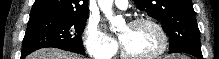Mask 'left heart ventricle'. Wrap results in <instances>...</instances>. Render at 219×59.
I'll return each instance as SVG.
<instances>
[{
  "label": "left heart ventricle",
  "instance_id": "left-heart-ventricle-1",
  "mask_svg": "<svg viewBox=\"0 0 219 59\" xmlns=\"http://www.w3.org/2000/svg\"><path fill=\"white\" fill-rule=\"evenodd\" d=\"M125 49L137 56L148 55L158 49L161 40L156 30L147 24L124 26L119 31Z\"/></svg>",
  "mask_w": 219,
  "mask_h": 59
}]
</instances>
